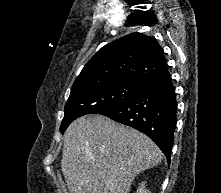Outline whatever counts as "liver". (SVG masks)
<instances>
[{
	"mask_svg": "<svg viewBox=\"0 0 221 193\" xmlns=\"http://www.w3.org/2000/svg\"><path fill=\"white\" fill-rule=\"evenodd\" d=\"M161 158V150L145 134L89 115L67 128L61 167L70 193H129L135 177Z\"/></svg>",
	"mask_w": 221,
	"mask_h": 193,
	"instance_id": "1",
	"label": "liver"
}]
</instances>
